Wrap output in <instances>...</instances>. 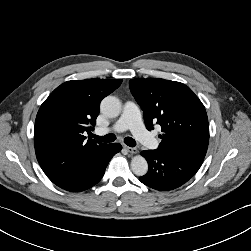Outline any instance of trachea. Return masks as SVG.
<instances>
[{"mask_svg":"<svg viewBox=\"0 0 251 251\" xmlns=\"http://www.w3.org/2000/svg\"><path fill=\"white\" fill-rule=\"evenodd\" d=\"M91 137L101 142H114L116 139V136L114 134H107L105 136H97L95 134H92ZM124 143L130 147L136 146V141L131 137L124 138Z\"/></svg>","mask_w":251,"mask_h":251,"instance_id":"obj_1","label":"trachea"}]
</instances>
